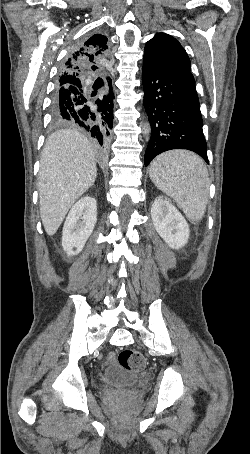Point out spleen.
Returning a JSON list of instances; mask_svg holds the SVG:
<instances>
[{
	"label": "spleen",
	"instance_id": "3e777b00",
	"mask_svg": "<svg viewBox=\"0 0 250 454\" xmlns=\"http://www.w3.org/2000/svg\"><path fill=\"white\" fill-rule=\"evenodd\" d=\"M149 176L155 186L170 196L191 221L206 211L209 175L203 160L188 151H169L156 157Z\"/></svg>",
	"mask_w": 250,
	"mask_h": 454
}]
</instances>
